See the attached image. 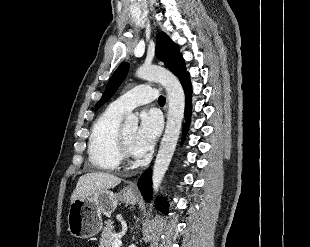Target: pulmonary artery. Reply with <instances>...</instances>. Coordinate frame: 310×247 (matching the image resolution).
Instances as JSON below:
<instances>
[{"label":"pulmonary artery","instance_id":"obj_1","mask_svg":"<svg viewBox=\"0 0 310 247\" xmlns=\"http://www.w3.org/2000/svg\"><path fill=\"white\" fill-rule=\"evenodd\" d=\"M157 97V89L150 85L143 84L136 86L117 98L112 103V106L123 113H127L137 106L154 101Z\"/></svg>","mask_w":310,"mask_h":247}]
</instances>
